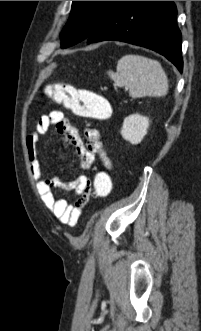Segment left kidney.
<instances>
[{"instance_id": "1", "label": "left kidney", "mask_w": 201, "mask_h": 331, "mask_svg": "<svg viewBox=\"0 0 201 331\" xmlns=\"http://www.w3.org/2000/svg\"><path fill=\"white\" fill-rule=\"evenodd\" d=\"M149 119L139 114H133L124 119L121 129L122 137L131 144H138L147 134Z\"/></svg>"}]
</instances>
